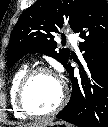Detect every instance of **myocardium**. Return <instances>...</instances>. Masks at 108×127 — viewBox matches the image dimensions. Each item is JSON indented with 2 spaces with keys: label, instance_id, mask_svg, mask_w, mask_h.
Here are the masks:
<instances>
[{
  "label": "myocardium",
  "instance_id": "f54148a6",
  "mask_svg": "<svg viewBox=\"0 0 108 127\" xmlns=\"http://www.w3.org/2000/svg\"><path fill=\"white\" fill-rule=\"evenodd\" d=\"M42 73L51 74L55 76L59 80L61 85V96L58 103L56 104L54 108L43 113L33 111L32 109L29 108L26 102V92L31 81L33 80L35 76ZM67 99H68V88L66 83L60 77H58L53 70L45 66H39V67H35L28 70L26 74L23 76V78L21 79L17 89V94H16V102H17L18 108L26 116H30V117H47V116L54 115L58 113L64 107V105L67 102Z\"/></svg>",
  "mask_w": 108,
  "mask_h": 127
}]
</instances>
